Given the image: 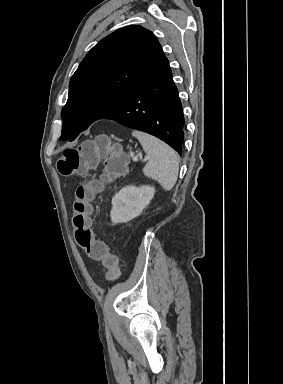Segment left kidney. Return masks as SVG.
I'll return each mask as SVG.
<instances>
[{
  "instance_id": "1",
  "label": "left kidney",
  "mask_w": 283,
  "mask_h": 384,
  "mask_svg": "<svg viewBox=\"0 0 283 384\" xmlns=\"http://www.w3.org/2000/svg\"><path fill=\"white\" fill-rule=\"evenodd\" d=\"M155 194L152 186H126L112 198V210L110 212L113 224L130 222L140 216L144 208L150 204Z\"/></svg>"
}]
</instances>
